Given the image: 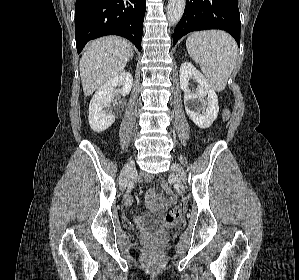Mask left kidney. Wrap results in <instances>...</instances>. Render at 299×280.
<instances>
[{
	"mask_svg": "<svg viewBox=\"0 0 299 280\" xmlns=\"http://www.w3.org/2000/svg\"><path fill=\"white\" fill-rule=\"evenodd\" d=\"M180 88L184 92V105L187 115L200 128L205 129L212 125L217 118L219 112L218 97L205 79V77L190 63L185 62L180 67ZM189 79L198 82L196 93H192L189 89ZM207 100L204 101V97ZM199 100L204 104L202 114L196 110L195 101Z\"/></svg>",
	"mask_w": 299,
	"mask_h": 280,
	"instance_id": "left-kidney-1",
	"label": "left kidney"
}]
</instances>
